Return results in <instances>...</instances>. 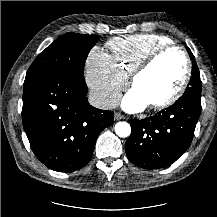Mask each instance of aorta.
<instances>
[{"label":"aorta","instance_id":"obj_1","mask_svg":"<svg viewBox=\"0 0 217 217\" xmlns=\"http://www.w3.org/2000/svg\"><path fill=\"white\" fill-rule=\"evenodd\" d=\"M115 133L121 138H126L131 133V127L127 122H118L115 125Z\"/></svg>","mask_w":217,"mask_h":217}]
</instances>
